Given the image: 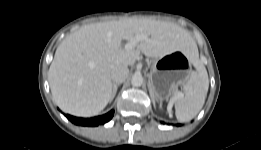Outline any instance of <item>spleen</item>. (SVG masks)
Here are the masks:
<instances>
[{
    "mask_svg": "<svg viewBox=\"0 0 261 150\" xmlns=\"http://www.w3.org/2000/svg\"><path fill=\"white\" fill-rule=\"evenodd\" d=\"M191 61L196 71L191 72L182 92H179L174 100L176 118L180 122L188 121L199 113L209 88L208 73L198 59L196 47L191 50Z\"/></svg>",
    "mask_w": 261,
    "mask_h": 150,
    "instance_id": "obj_1",
    "label": "spleen"
}]
</instances>
